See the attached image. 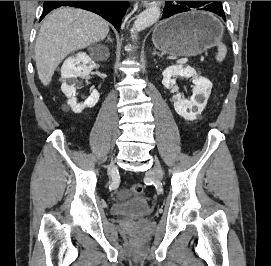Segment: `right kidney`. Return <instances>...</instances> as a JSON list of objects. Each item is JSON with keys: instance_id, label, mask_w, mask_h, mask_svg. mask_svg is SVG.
Instances as JSON below:
<instances>
[{"instance_id": "1", "label": "right kidney", "mask_w": 271, "mask_h": 266, "mask_svg": "<svg viewBox=\"0 0 271 266\" xmlns=\"http://www.w3.org/2000/svg\"><path fill=\"white\" fill-rule=\"evenodd\" d=\"M92 63V58L86 53L80 52L76 55L68 57L61 68L62 86L61 90L68 98V104L75 113H80L84 108L94 107L99 100V93L93 90L91 95L84 103H78L75 98L76 88L74 87L75 79L77 77H88L90 72L88 65Z\"/></svg>"}]
</instances>
